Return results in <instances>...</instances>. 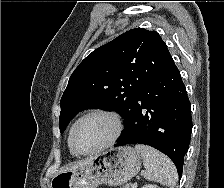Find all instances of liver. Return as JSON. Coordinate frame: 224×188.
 Listing matches in <instances>:
<instances>
[{
	"label": "liver",
	"instance_id": "6515ba94",
	"mask_svg": "<svg viewBox=\"0 0 224 188\" xmlns=\"http://www.w3.org/2000/svg\"><path fill=\"white\" fill-rule=\"evenodd\" d=\"M94 158H95V156H91L89 158H86V159L77 161L74 164H72V165H70L68 167H65V168L61 169L60 172L70 171V170H73V169H77L79 167H82L84 165H87V164L91 163L94 160Z\"/></svg>",
	"mask_w": 224,
	"mask_h": 188
}]
</instances>
